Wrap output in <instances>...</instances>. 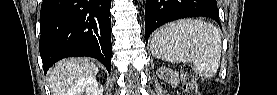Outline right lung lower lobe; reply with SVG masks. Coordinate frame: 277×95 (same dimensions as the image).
Here are the masks:
<instances>
[{
  "mask_svg": "<svg viewBox=\"0 0 277 95\" xmlns=\"http://www.w3.org/2000/svg\"><path fill=\"white\" fill-rule=\"evenodd\" d=\"M110 0H43L40 55L44 73L58 60L89 56L111 71Z\"/></svg>",
  "mask_w": 277,
  "mask_h": 95,
  "instance_id": "1",
  "label": "right lung lower lobe"
}]
</instances>
